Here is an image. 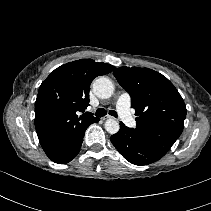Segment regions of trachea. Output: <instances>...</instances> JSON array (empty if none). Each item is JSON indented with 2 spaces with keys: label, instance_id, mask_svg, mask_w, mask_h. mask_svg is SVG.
<instances>
[{
  "label": "trachea",
  "instance_id": "obj_1",
  "mask_svg": "<svg viewBox=\"0 0 211 211\" xmlns=\"http://www.w3.org/2000/svg\"><path fill=\"white\" fill-rule=\"evenodd\" d=\"M105 115H106V110L103 109V108H99L95 113V116H97V117H103ZM109 115L114 116V117H118L117 112L114 111V110H110Z\"/></svg>",
  "mask_w": 211,
  "mask_h": 211
}]
</instances>
